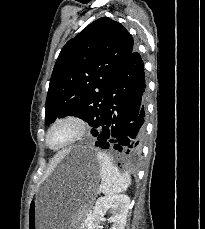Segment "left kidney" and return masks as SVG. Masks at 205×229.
<instances>
[{"instance_id":"left-kidney-1","label":"left kidney","mask_w":205,"mask_h":229,"mask_svg":"<svg viewBox=\"0 0 205 229\" xmlns=\"http://www.w3.org/2000/svg\"><path fill=\"white\" fill-rule=\"evenodd\" d=\"M130 205V198L126 195H113L98 198L94 211L88 215L87 229H99L101 221L107 211L112 216L108 219L112 223L110 229H124Z\"/></svg>"}]
</instances>
